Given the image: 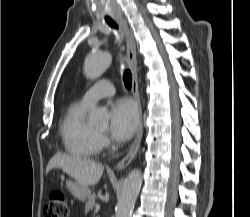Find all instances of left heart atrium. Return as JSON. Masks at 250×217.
I'll return each instance as SVG.
<instances>
[{
  "label": "left heart atrium",
  "mask_w": 250,
  "mask_h": 217,
  "mask_svg": "<svg viewBox=\"0 0 250 217\" xmlns=\"http://www.w3.org/2000/svg\"><path fill=\"white\" fill-rule=\"evenodd\" d=\"M139 125V112L129 99L115 101L110 109V133L118 141L128 140Z\"/></svg>",
  "instance_id": "obj_1"
}]
</instances>
